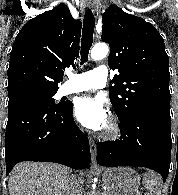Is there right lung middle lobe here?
<instances>
[{
	"label": "right lung middle lobe",
	"instance_id": "dd1d6c3e",
	"mask_svg": "<svg viewBox=\"0 0 178 195\" xmlns=\"http://www.w3.org/2000/svg\"><path fill=\"white\" fill-rule=\"evenodd\" d=\"M56 92L57 90H28L14 96H9L8 106L21 102L44 106H61L63 104H56L53 98Z\"/></svg>",
	"mask_w": 178,
	"mask_h": 195
}]
</instances>
